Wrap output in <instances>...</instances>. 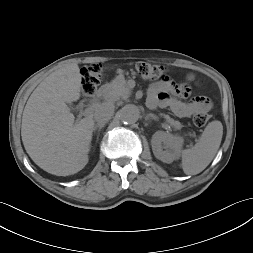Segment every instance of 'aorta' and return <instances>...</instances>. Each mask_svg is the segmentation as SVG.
I'll list each match as a JSON object with an SVG mask.
<instances>
[{"mask_svg":"<svg viewBox=\"0 0 253 253\" xmlns=\"http://www.w3.org/2000/svg\"><path fill=\"white\" fill-rule=\"evenodd\" d=\"M140 111L137 106L127 104L119 112V118L122 122L132 124L138 121Z\"/></svg>","mask_w":253,"mask_h":253,"instance_id":"1","label":"aorta"}]
</instances>
